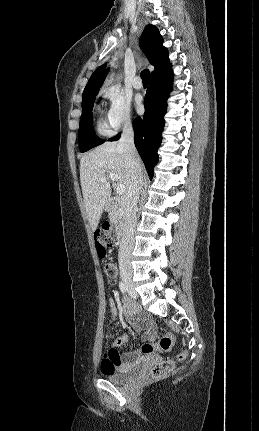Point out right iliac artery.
Instances as JSON below:
<instances>
[{
    "instance_id": "right-iliac-artery-1",
    "label": "right iliac artery",
    "mask_w": 259,
    "mask_h": 431,
    "mask_svg": "<svg viewBox=\"0 0 259 431\" xmlns=\"http://www.w3.org/2000/svg\"><path fill=\"white\" fill-rule=\"evenodd\" d=\"M119 288H120L122 293H126V291H127L126 286L121 281L119 282Z\"/></svg>"
}]
</instances>
